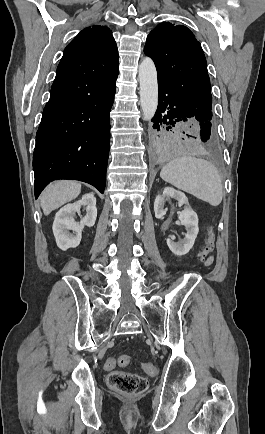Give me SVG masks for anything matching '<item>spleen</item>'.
<instances>
[{
	"instance_id": "1",
	"label": "spleen",
	"mask_w": 265,
	"mask_h": 434,
	"mask_svg": "<svg viewBox=\"0 0 265 434\" xmlns=\"http://www.w3.org/2000/svg\"><path fill=\"white\" fill-rule=\"evenodd\" d=\"M160 176L165 182L208 202L210 206H219L222 202L223 190L219 172L207 160L194 156L174 158L163 166Z\"/></svg>"
}]
</instances>
